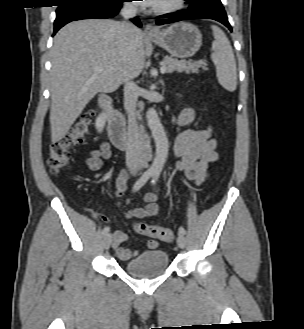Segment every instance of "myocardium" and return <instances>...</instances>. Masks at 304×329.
Instances as JSON below:
<instances>
[{"label":"myocardium","mask_w":304,"mask_h":329,"mask_svg":"<svg viewBox=\"0 0 304 329\" xmlns=\"http://www.w3.org/2000/svg\"><path fill=\"white\" fill-rule=\"evenodd\" d=\"M185 5V0H172L166 5L153 7L152 11L157 15H168L181 10Z\"/></svg>","instance_id":"f54148a6"}]
</instances>
